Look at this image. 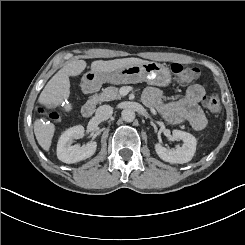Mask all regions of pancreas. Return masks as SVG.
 <instances>
[{
    "instance_id": "obj_1",
    "label": "pancreas",
    "mask_w": 245,
    "mask_h": 245,
    "mask_svg": "<svg viewBox=\"0 0 245 245\" xmlns=\"http://www.w3.org/2000/svg\"><path fill=\"white\" fill-rule=\"evenodd\" d=\"M115 99H121V95L118 92V89L114 87H107L102 91L101 94L90 96L87 103L96 105L102 102L115 100Z\"/></svg>"
}]
</instances>
